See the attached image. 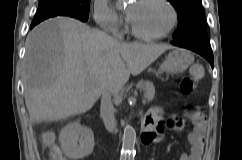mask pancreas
<instances>
[{
  "mask_svg": "<svg viewBox=\"0 0 242 160\" xmlns=\"http://www.w3.org/2000/svg\"><path fill=\"white\" fill-rule=\"evenodd\" d=\"M137 88L143 90L144 96L147 102H150L154 99L155 97V87L153 84L149 81L144 82L141 81L137 84Z\"/></svg>",
  "mask_w": 242,
  "mask_h": 160,
  "instance_id": "cf45deb5",
  "label": "pancreas"
}]
</instances>
